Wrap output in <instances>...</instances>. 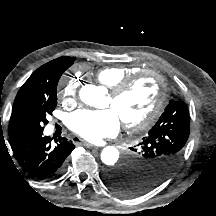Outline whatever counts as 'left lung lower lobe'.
<instances>
[{
	"label": "left lung lower lobe",
	"instance_id": "0a47b994",
	"mask_svg": "<svg viewBox=\"0 0 216 216\" xmlns=\"http://www.w3.org/2000/svg\"><path fill=\"white\" fill-rule=\"evenodd\" d=\"M131 168L128 164H123L116 169H112L105 174L106 184L115 192L127 197L136 196L132 192L134 186L131 182H125V178L130 174Z\"/></svg>",
	"mask_w": 216,
	"mask_h": 216
}]
</instances>
